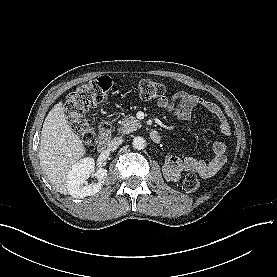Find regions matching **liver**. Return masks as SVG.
I'll list each match as a JSON object with an SVG mask.
<instances>
[{
  "mask_svg": "<svg viewBox=\"0 0 277 277\" xmlns=\"http://www.w3.org/2000/svg\"><path fill=\"white\" fill-rule=\"evenodd\" d=\"M85 154L82 139L66 120L62 102L57 103L45 118L39 144L40 166L56 191L80 197L68 175Z\"/></svg>",
  "mask_w": 277,
  "mask_h": 277,
  "instance_id": "obj_1",
  "label": "liver"
}]
</instances>
